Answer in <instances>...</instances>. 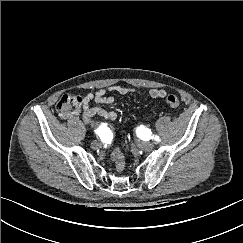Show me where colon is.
<instances>
[{
	"mask_svg": "<svg viewBox=\"0 0 243 243\" xmlns=\"http://www.w3.org/2000/svg\"><path fill=\"white\" fill-rule=\"evenodd\" d=\"M82 103V96L74 94H64L58 100L56 104V110L61 117L66 118L78 111ZM166 103L174 109H177L180 106L179 98L173 94H170L166 97ZM111 158L115 163L116 169L118 171H123L126 164L123 153L118 148H115L111 152Z\"/></svg>",
	"mask_w": 243,
	"mask_h": 243,
	"instance_id": "1",
	"label": "colon"
}]
</instances>
